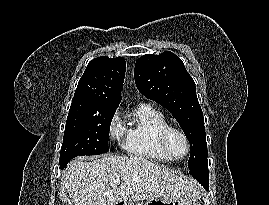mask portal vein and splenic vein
<instances>
[{
	"mask_svg": "<svg viewBox=\"0 0 269 205\" xmlns=\"http://www.w3.org/2000/svg\"><path fill=\"white\" fill-rule=\"evenodd\" d=\"M120 183H121V181H120L119 179H116V180L113 181V184H114V185H118V184H120Z\"/></svg>",
	"mask_w": 269,
	"mask_h": 205,
	"instance_id": "portal-vein-and-splenic-vein-1",
	"label": "portal vein and splenic vein"
}]
</instances>
